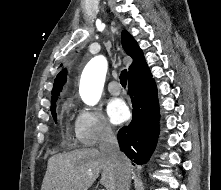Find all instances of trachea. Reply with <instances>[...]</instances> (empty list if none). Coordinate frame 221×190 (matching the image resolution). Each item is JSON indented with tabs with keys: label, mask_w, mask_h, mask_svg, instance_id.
<instances>
[{
	"label": "trachea",
	"mask_w": 221,
	"mask_h": 190,
	"mask_svg": "<svg viewBox=\"0 0 221 190\" xmlns=\"http://www.w3.org/2000/svg\"><path fill=\"white\" fill-rule=\"evenodd\" d=\"M127 78H128L127 70H123L120 74V83L123 87H126L127 85Z\"/></svg>",
	"instance_id": "obj_1"
}]
</instances>
